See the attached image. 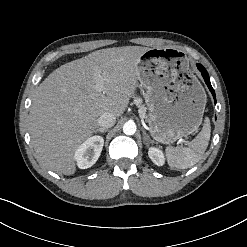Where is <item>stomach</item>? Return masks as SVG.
Listing matches in <instances>:
<instances>
[{
    "label": "stomach",
    "mask_w": 247,
    "mask_h": 247,
    "mask_svg": "<svg viewBox=\"0 0 247 247\" xmlns=\"http://www.w3.org/2000/svg\"><path fill=\"white\" fill-rule=\"evenodd\" d=\"M138 80L146 89L152 138L169 144L198 130L207 96L179 49L151 48L137 64Z\"/></svg>",
    "instance_id": "1"
}]
</instances>
